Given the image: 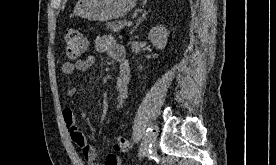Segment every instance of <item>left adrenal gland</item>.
Segmentation results:
<instances>
[{
  "instance_id": "1",
  "label": "left adrenal gland",
  "mask_w": 276,
  "mask_h": 165,
  "mask_svg": "<svg viewBox=\"0 0 276 165\" xmlns=\"http://www.w3.org/2000/svg\"><path fill=\"white\" fill-rule=\"evenodd\" d=\"M147 15H148V12L142 13V16L138 19V21L136 22V25L130 31V34H132L135 31V29L140 25V23L146 18Z\"/></svg>"
}]
</instances>
